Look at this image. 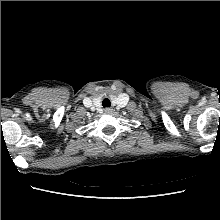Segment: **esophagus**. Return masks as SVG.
Wrapping results in <instances>:
<instances>
[{
  "label": "esophagus",
  "instance_id": "esophagus-1",
  "mask_svg": "<svg viewBox=\"0 0 220 220\" xmlns=\"http://www.w3.org/2000/svg\"><path fill=\"white\" fill-rule=\"evenodd\" d=\"M105 112H106V113H111V112H112V109H111V108H106V109H105Z\"/></svg>",
  "mask_w": 220,
  "mask_h": 220
}]
</instances>
